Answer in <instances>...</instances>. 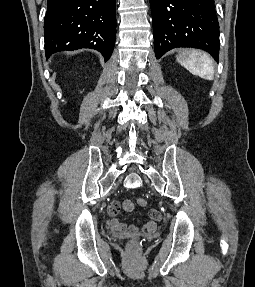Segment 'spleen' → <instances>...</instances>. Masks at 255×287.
<instances>
[{"mask_svg": "<svg viewBox=\"0 0 255 287\" xmlns=\"http://www.w3.org/2000/svg\"><path fill=\"white\" fill-rule=\"evenodd\" d=\"M177 60L184 68H187L191 74H195V76H199V78H204V80H213V60L208 54H205V52L193 50L189 56H178Z\"/></svg>", "mask_w": 255, "mask_h": 287, "instance_id": "obj_1", "label": "spleen"}]
</instances>
